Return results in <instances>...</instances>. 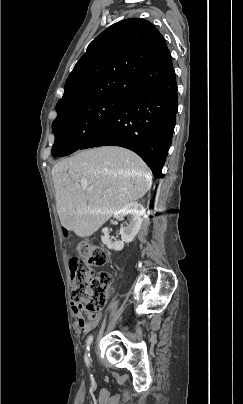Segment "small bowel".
<instances>
[{
	"label": "small bowel",
	"mask_w": 243,
	"mask_h": 404,
	"mask_svg": "<svg viewBox=\"0 0 243 404\" xmlns=\"http://www.w3.org/2000/svg\"><path fill=\"white\" fill-rule=\"evenodd\" d=\"M84 310H85V307L81 303H76L72 306V311H73L74 315L77 317V326L83 332H89L97 326V324L100 320V315L96 314L93 317H89L88 319H85L83 317Z\"/></svg>",
	"instance_id": "small-bowel-1"
}]
</instances>
